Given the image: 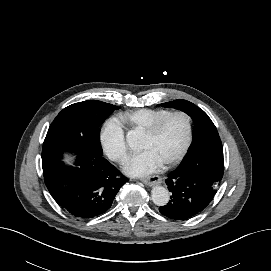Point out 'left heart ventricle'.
Returning a JSON list of instances; mask_svg holds the SVG:
<instances>
[{
    "label": "left heart ventricle",
    "mask_w": 271,
    "mask_h": 271,
    "mask_svg": "<svg viewBox=\"0 0 271 271\" xmlns=\"http://www.w3.org/2000/svg\"><path fill=\"white\" fill-rule=\"evenodd\" d=\"M189 132V123L184 115L169 118L152 136H142L139 146L150 151L160 162L166 161L184 146Z\"/></svg>",
    "instance_id": "obj_1"
}]
</instances>
